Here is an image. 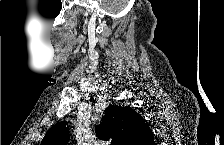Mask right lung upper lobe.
Here are the masks:
<instances>
[{
  "mask_svg": "<svg viewBox=\"0 0 224 145\" xmlns=\"http://www.w3.org/2000/svg\"><path fill=\"white\" fill-rule=\"evenodd\" d=\"M66 122H59L46 133L41 145H64L68 142ZM97 137L112 145H149L153 138L151 129L143 118L129 107L110 105L102 122L96 128Z\"/></svg>",
  "mask_w": 224,
  "mask_h": 145,
  "instance_id": "cb5924a9",
  "label": "right lung upper lobe"
}]
</instances>
